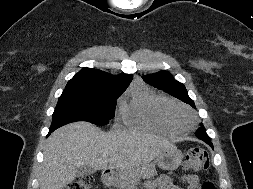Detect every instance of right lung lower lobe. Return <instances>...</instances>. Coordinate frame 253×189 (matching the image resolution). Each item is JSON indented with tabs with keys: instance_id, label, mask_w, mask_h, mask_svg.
I'll use <instances>...</instances> for the list:
<instances>
[{
	"instance_id": "1",
	"label": "right lung lower lobe",
	"mask_w": 253,
	"mask_h": 189,
	"mask_svg": "<svg viewBox=\"0 0 253 189\" xmlns=\"http://www.w3.org/2000/svg\"><path fill=\"white\" fill-rule=\"evenodd\" d=\"M57 128H50V130H49V133H48V135L47 136H49V134L50 133H52L54 130H56Z\"/></svg>"
}]
</instances>
